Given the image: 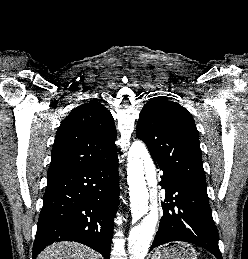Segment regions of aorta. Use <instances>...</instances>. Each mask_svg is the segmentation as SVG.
Wrapping results in <instances>:
<instances>
[{
  "instance_id": "762f6f07",
  "label": "aorta",
  "mask_w": 248,
  "mask_h": 259,
  "mask_svg": "<svg viewBox=\"0 0 248 259\" xmlns=\"http://www.w3.org/2000/svg\"><path fill=\"white\" fill-rule=\"evenodd\" d=\"M127 179L135 225L129 234L130 259H145L159 219L155 166L146 146L135 141L128 151Z\"/></svg>"
}]
</instances>
